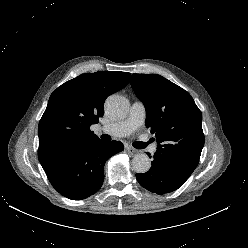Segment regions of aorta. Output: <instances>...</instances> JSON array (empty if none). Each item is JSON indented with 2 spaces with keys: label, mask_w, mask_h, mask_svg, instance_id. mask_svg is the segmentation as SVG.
Wrapping results in <instances>:
<instances>
[{
  "label": "aorta",
  "mask_w": 248,
  "mask_h": 248,
  "mask_svg": "<svg viewBox=\"0 0 248 248\" xmlns=\"http://www.w3.org/2000/svg\"><path fill=\"white\" fill-rule=\"evenodd\" d=\"M105 109L114 118H124L129 111V102L123 96L111 95L105 102ZM132 167L137 173H146L151 168L150 158L146 154H137L132 160Z\"/></svg>",
  "instance_id": "aorta-1"
}]
</instances>
